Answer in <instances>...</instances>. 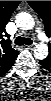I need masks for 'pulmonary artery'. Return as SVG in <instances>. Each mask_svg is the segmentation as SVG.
I'll return each instance as SVG.
<instances>
[{
    "label": "pulmonary artery",
    "instance_id": "e3ab8cb5",
    "mask_svg": "<svg viewBox=\"0 0 51 101\" xmlns=\"http://www.w3.org/2000/svg\"><path fill=\"white\" fill-rule=\"evenodd\" d=\"M40 37L43 38V35L40 34Z\"/></svg>",
    "mask_w": 51,
    "mask_h": 101
}]
</instances>
